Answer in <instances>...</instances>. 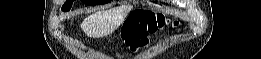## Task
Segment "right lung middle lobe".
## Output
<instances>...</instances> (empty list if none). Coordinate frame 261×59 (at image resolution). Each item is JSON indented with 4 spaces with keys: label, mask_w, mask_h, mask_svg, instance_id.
<instances>
[{
    "label": "right lung middle lobe",
    "mask_w": 261,
    "mask_h": 59,
    "mask_svg": "<svg viewBox=\"0 0 261 59\" xmlns=\"http://www.w3.org/2000/svg\"><path fill=\"white\" fill-rule=\"evenodd\" d=\"M82 2L84 4H87V5H96V4H105V3L109 2V1H107V0H82ZM71 6H72V1L71 0H67L65 2V4L63 5L62 10L65 11V12L69 11Z\"/></svg>",
    "instance_id": "right-lung-middle-lobe-1"
}]
</instances>
